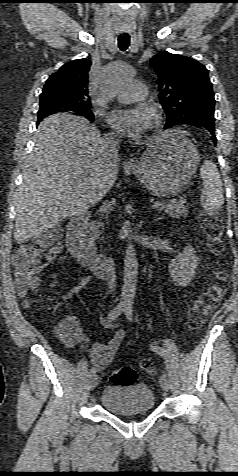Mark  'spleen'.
Instances as JSON below:
<instances>
[{
  "label": "spleen",
  "mask_w": 238,
  "mask_h": 476,
  "mask_svg": "<svg viewBox=\"0 0 238 476\" xmlns=\"http://www.w3.org/2000/svg\"><path fill=\"white\" fill-rule=\"evenodd\" d=\"M204 189L201 195V205L206 210L213 212L222 208L224 195L222 180L214 162L205 160L200 169Z\"/></svg>",
  "instance_id": "1"
}]
</instances>
